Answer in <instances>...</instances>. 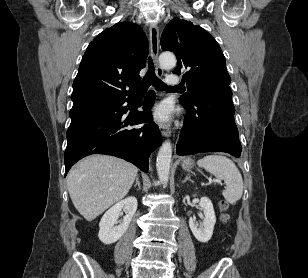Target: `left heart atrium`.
I'll use <instances>...</instances> for the list:
<instances>
[{
  "instance_id": "obj_1",
  "label": "left heart atrium",
  "mask_w": 308,
  "mask_h": 278,
  "mask_svg": "<svg viewBox=\"0 0 308 278\" xmlns=\"http://www.w3.org/2000/svg\"><path fill=\"white\" fill-rule=\"evenodd\" d=\"M171 117V109L168 104L161 103L154 110V118L160 122L168 121Z\"/></svg>"
}]
</instances>
